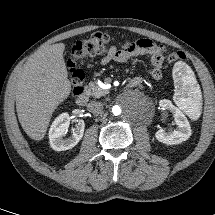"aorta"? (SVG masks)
Here are the masks:
<instances>
[{"instance_id":"762f6f07","label":"aorta","mask_w":215,"mask_h":215,"mask_svg":"<svg viewBox=\"0 0 215 215\" xmlns=\"http://www.w3.org/2000/svg\"><path fill=\"white\" fill-rule=\"evenodd\" d=\"M113 113L116 114V115H118V114L121 113V109L119 107H114L113 108Z\"/></svg>"}]
</instances>
